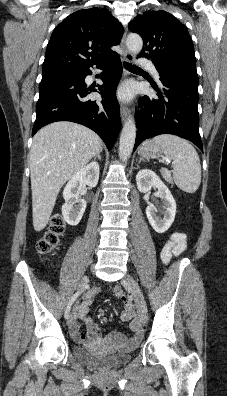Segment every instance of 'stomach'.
I'll return each mask as SVG.
<instances>
[{
  "label": "stomach",
  "instance_id": "1",
  "mask_svg": "<svg viewBox=\"0 0 227 396\" xmlns=\"http://www.w3.org/2000/svg\"><path fill=\"white\" fill-rule=\"evenodd\" d=\"M161 147L154 142L148 140L139 148V155L145 159L158 158L161 154Z\"/></svg>",
  "mask_w": 227,
  "mask_h": 396
}]
</instances>
